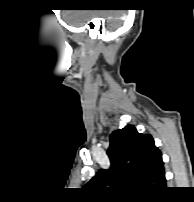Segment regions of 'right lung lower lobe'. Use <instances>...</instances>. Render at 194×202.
<instances>
[{"label":"right lung lower lobe","instance_id":"1","mask_svg":"<svg viewBox=\"0 0 194 202\" xmlns=\"http://www.w3.org/2000/svg\"><path fill=\"white\" fill-rule=\"evenodd\" d=\"M163 193H164V189H163L162 191H160L159 193L154 194V196H155V197H157V196H161Z\"/></svg>","mask_w":194,"mask_h":202}]
</instances>
